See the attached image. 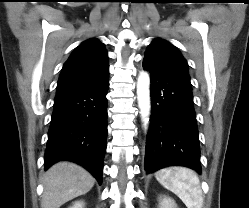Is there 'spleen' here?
I'll return each mask as SVG.
<instances>
[{
	"label": "spleen",
	"instance_id": "3e777b00",
	"mask_svg": "<svg viewBox=\"0 0 249 208\" xmlns=\"http://www.w3.org/2000/svg\"><path fill=\"white\" fill-rule=\"evenodd\" d=\"M156 179L176 194L187 208H202L200 181L194 171L185 167H170L156 173Z\"/></svg>",
	"mask_w": 249,
	"mask_h": 208
}]
</instances>
